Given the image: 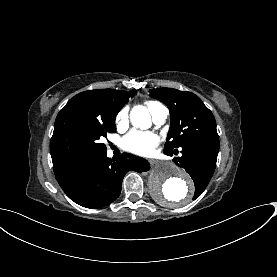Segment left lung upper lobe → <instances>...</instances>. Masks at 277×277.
Instances as JSON below:
<instances>
[{"label":"left lung upper lobe","instance_id":"1","mask_svg":"<svg viewBox=\"0 0 277 277\" xmlns=\"http://www.w3.org/2000/svg\"><path fill=\"white\" fill-rule=\"evenodd\" d=\"M149 93L167 105L170 111L165 154L202 138H219L212 112L194 93L172 88L151 89Z\"/></svg>","mask_w":277,"mask_h":277}]
</instances>
